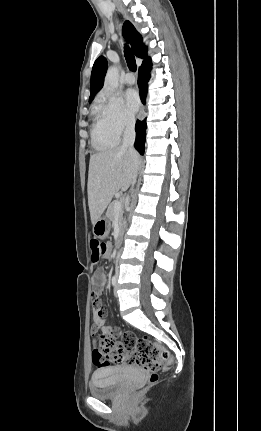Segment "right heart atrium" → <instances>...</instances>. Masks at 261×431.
Wrapping results in <instances>:
<instances>
[{"instance_id": "right-heart-atrium-1", "label": "right heart atrium", "mask_w": 261, "mask_h": 431, "mask_svg": "<svg viewBox=\"0 0 261 431\" xmlns=\"http://www.w3.org/2000/svg\"><path fill=\"white\" fill-rule=\"evenodd\" d=\"M98 106L104 116L108 128L120 136L134 126L133 116L124 108L121 100L107 92L100 94Z\"/></svg>"}]
</instances>
